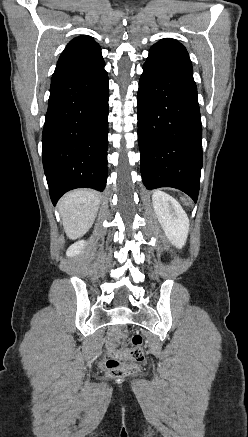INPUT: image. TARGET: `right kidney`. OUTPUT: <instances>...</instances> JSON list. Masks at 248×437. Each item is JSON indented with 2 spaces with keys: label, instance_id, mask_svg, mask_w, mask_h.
<instances>
[{
  "label": "right kidney",
  "instance_id": "obj_1",
  "mask_svg": "<svg viewBox=\"0 0 248 437\" xmlns=\"http://www.w3.org/2000/svg\"><path fill=\"white\" fill-rule=\"evenodd\" d=\"M84 247H85V242L83 240L78 241L67 249L66 255L68 257H74L78 255L82 251V249H84Z\"/></svg>",
  "mask_w": 248,
  "mask_h": 437
}]
</instances>
